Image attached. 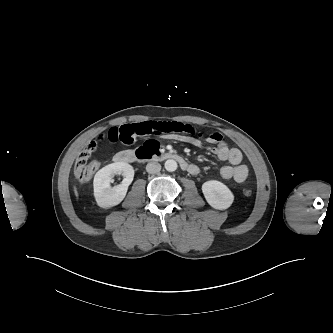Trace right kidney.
<instances>
[{"mask_svg": "<svg viewBox=\"0 0 333 333\" xmlns=\"http://www.w3.org/2000/svg\"><path fill=\"white\" fill-rule=\"evenodd\" d=\"M117 174H122L124 179L120 185L111 187L110 183ZM133 177V167L124 162L112 163L100 169L93 181L94 196L98 206L107 209L121 203Z\"/></svg>", "mask_w": 333, "mask_h": 333, "instance_id": "ca27d5eb", "label": "right kidney"}]
</instances>
